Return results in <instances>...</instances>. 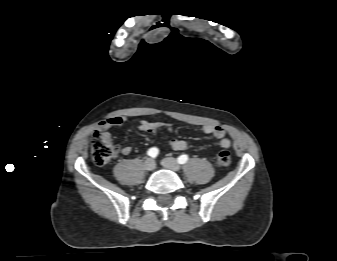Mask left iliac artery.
<instances>
[{
  "label": "left iliac artery",
  "instance_id": "1",
  "mask_svg": "<svg viewBox=\"0 0 337 261\" xmlns=\"http://www.w3.org/2000/svg\"><path fill=\"white\" fill-rule=\"evenodd\" d=\"M187 160H188V155H186V154H183V155L178 157V163H180V164L186 163Z\"/></svg>",
  "mask_w": 337,
  "mask_h": 261
}]
</instances>
